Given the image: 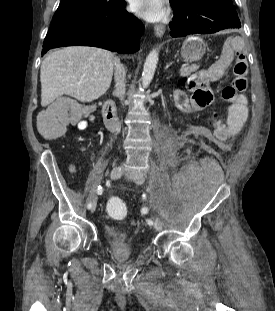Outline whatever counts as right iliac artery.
<instances>
[{
	"label": "right iliac artery",
	"instance_id": "1",
	"mask_svg": "<svg viewBox=\"0 0 275 311\" xmlns=\"http://www.w3.org/2000/svg\"><path fill=\"white\" fill-rule=\"evenodd\" d=\"M107 184H109V182H107ZM96 192H97L98 195H101V194L103 193V188H102L101 186H98ZM91 207H92V204L89 203V204L87 205V208L90 209Z\"/></svg>",
	"mask_w": 275,
	"mask_h": 311
}]
</instances>
